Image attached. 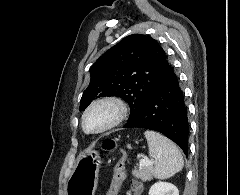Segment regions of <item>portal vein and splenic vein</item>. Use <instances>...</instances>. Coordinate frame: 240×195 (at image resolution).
<instances>
[{
    "label": "portal vein and splenic vein",
    "mask_w": 240,
    "mask_h": 195,
    "mask_svg": "<svg viewBox=\"0 0 240 195\" xmlns=\"http://www.w3.org/2000/svg\"><path fill=\"white\" fill-rule=\"evenodd\" d=\"M140 167H143V165H153L154 159H139Z\"/></svg>",
    "instance_id": "portal-vein-and-splenic-vein-1"
}]
</instances>
